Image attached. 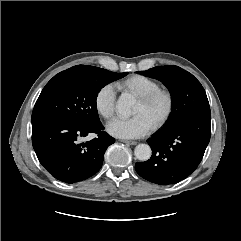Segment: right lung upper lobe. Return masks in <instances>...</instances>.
I'll return each instance as SVG.
<instances>
[{
  "mask_svg": "<svg viewBox=\"0 0 241 241\" xmlns=\"http://www.w3.org/2000/svg\"><path fill=\"white\" fill-rule=\"evenodd\" d=\"M91 66H87V65H77L74 66L72 68H70L71 70H89Z\"/></svg>",
  "mask_w": 241,
  "mask_h": 241,
  "instance_id": "cb5924a9",
  "label": "right lung upper lobe"
}]
</instances>
